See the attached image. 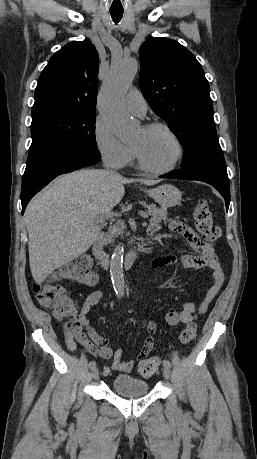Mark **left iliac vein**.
Returning <instances> with one entry per match:
<instances>
[{"instance_id":"4c4485c4","label":"left iliac vein","mask_w":257,"mask_h":459,"mask_svg":"<svg viewBox=\"0 0 257 459\" xmlns=\"http://www.w3.org/2000/svg\"><path fill=\"white\" fill-rule=\"evenodd\" d=\"M163 376H164L165 379H169L170 378V368L164 367Z\"/></svg>"}]
</instances>
